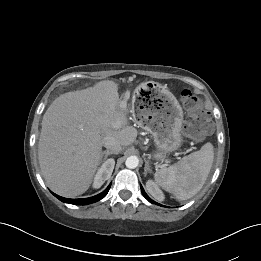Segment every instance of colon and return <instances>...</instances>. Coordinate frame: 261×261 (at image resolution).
<instances>
[{
  "instance_id": "obj_1",
  "label": "colon",
  "mask_w": 261,
  "mask_h": 261,
  "mask_svg": "<svg viewBox=\"0 0 261 261\" xmlns=\"http://www.w3.org/2000/svg\"><path fill=\"white\" fill-rule=\"evenodd\" d=\"M181 101L187 112L184 124L185 134L194 139H200L212 130V123L203 109L202 100L190 90L181 92Z\"/></svg>"
}]
</instances>
